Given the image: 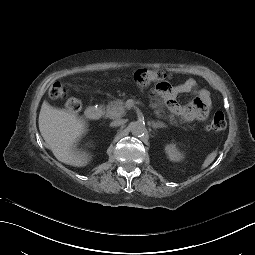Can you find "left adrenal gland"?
<instances>
[{"label": "left adrenal gland", "mask_w": 255, "mask_h": 255, "mask_svg": "<svg viewBox=\"0 0 255 255\" xmlns=\"http://www.w3.org/2000/svg\"><path fill=\"white\" fill-rule=\"evenodd\" d=\"M150 124L154 130H156L158 128H166V126L161 122L151 121Z\"/></svg>", "instance_id": "obj_1"}]
</instances>
